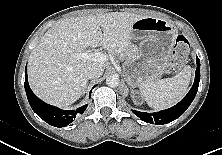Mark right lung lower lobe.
Returning <instances> with one entry per match:
<instances>
[{
	"instance_id": "obj_1",
	"label": "right lung lower lobe",
	"mask_w": 222,
	"mask_h": 155,
	"mask_svg": "<svg viewBox=\"0 0 222 155\" xmlns=\"http://www.w3.org/2000/svg\"><path fill=\"white\" fill-rule=\"evenodd\" d=\"M25 90L29 104L33 111L45 122L55 127H65L73 122L77 114H83L87 105L76 110H62L55 106L49 105L40 100L30 89L27 78V67L25 69ZM91 97V91L89 93Z\"/></svg>"
}]
</instances>
